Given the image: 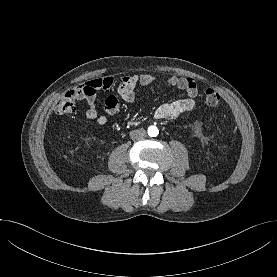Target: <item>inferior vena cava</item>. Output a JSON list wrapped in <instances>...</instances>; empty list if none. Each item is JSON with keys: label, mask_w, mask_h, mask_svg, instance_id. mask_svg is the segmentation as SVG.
Returning a JSON list of instances; mask_svg holds the SVG:
<instances>
[{"label": "inferior vena cava", "mask_w": 277, "mask_h": 277, "mask_svg": "<svg viewBox=\"0 0 277 277\" xmlns=\"http://www.w3.org/2000/svg\"><path fill=\"white\" fill-rule=\"evenodd\" d=\"M146 137V131L143 128L132 130L130 132V138L132 140H139Z\"/></svg>", "instance_id": "1"}]
</instances>
